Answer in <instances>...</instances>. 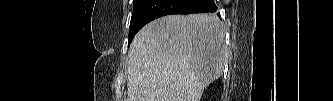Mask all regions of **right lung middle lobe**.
Wrapping results in <instances>:
<instances>
[{
	"mask_svg": "<svg viewBox=\"0 0 333 101\" xmlns=\"http://www.w3.org/2000/svg\"><path fill=\"white\" fill-rule=\"evenodd\" d=\"M142 2H143V0H133V14H132V17L136 13V11L138 10V8H139V6L141 5ZM131 40H132V26H131V23H130L129 41H128L129 44H130Z\"/></svg>",
	"mask_w": 333,
	"mask_h": 101,
	"instance_id": "right-lung-middle-lobe-1",
	"label": "right lung middle lobe"
}]
</instances>
